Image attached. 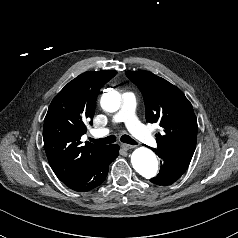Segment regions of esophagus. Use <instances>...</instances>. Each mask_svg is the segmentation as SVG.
<instances>
[{"mask_svg":"<svg viewBox=\"0 0 238 238\" xmlns=\"http://www.w3.org/2000/svg\"><path fill=\"white\" fill-rule=\"evenodd\" d=\"M121 147L123 148V149H125V150H130V149H133V148H135V146H133V145H129V144H121Z\"/></svg>","mask_w":238,"mask_h":238,"instance_id":"1","label":"esophagus"}]
</instances>
